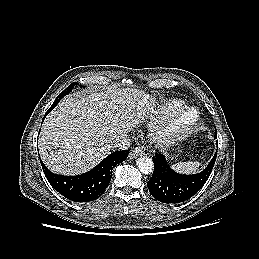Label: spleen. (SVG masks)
<instances>
[{
  "instance_id": "1",
  "label": "spleen",
  "mask_w": 259,
  "mask_h": 259,
  "mask_svg": "<svg viewBox=\"0 0 259 259\" xmlns=\"http://www.w3.org/2000/svg\"><path fill=\"white\" fill-rule=\"evenodd\" d=\"M200 167L199 162H180L172 165V168L179 173H195Z\"/></svg>"
}]
</instances>
